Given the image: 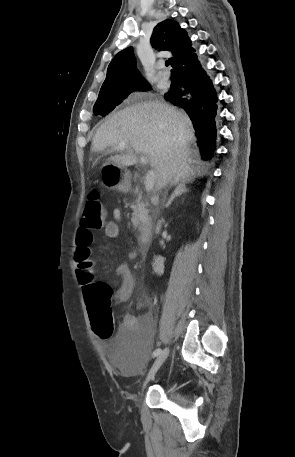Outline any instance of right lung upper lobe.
Segmentation results:
<instances>
[{
  "instance_id": "cb5924a9",
  "label": "right lung upper lobe",
  "mask_w": 295,
  "mask_h": 457,
  "mask_svg": "<svg viewBox=\"0 0 295 457\" xmlns=\"http://www.w3.org/2000/svg\"><path fill=\"white\" fill-rule=\"evenodd\" d=\"M151 45L155 49L172 52L173 56L169 59L172 66L180 56L191 49V41L186 31L170 19L158 23L154 28ZM140 81L145 80L136 69V58L132 47H129L116 54L109 64L100 92Z\"/></svg>"
}]
</instances>
